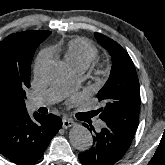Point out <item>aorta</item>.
Segmentation results:
<instances>
[{
    "instance_id": "aorta-1",
    "label": "aorta",
    "mask_w": 165,
    "mask_h": 165,
    "mask_svg": "<svg viewBox=\"0 0 165 165\" xmlns=\"http://www.w3.org/2000/svg\"><path fill=\"white\" fill-rule=\"evenodd\" d=\"M42 78L49 83H60L64 76V67L60 61L48 60L41 67ZM72 146L79 150H88L93 144L90 131L82 125H75L69 131Z\"/></svg>"
}]
</instances>
